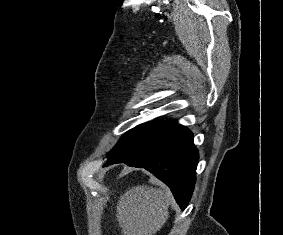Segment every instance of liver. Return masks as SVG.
I'll list each match as a JSON object with an SVG mask.
<instances>
[{
    "instance_id": "1",
    "label": "liver",
    "mask_w": 283,
    "mask_h": 235,
    "mask_svg": "<svg viewBox=\"0 0 283 235\" xmlns=\"http://www.w3.org/2000/svg\"><path fill=\"white\" fill-rule=\"evenodd\" d=\"M172 202V193L166 186H136L126 191L116 206L123 235H155L166 223Z\"/></svg>"
}]
</instances>
